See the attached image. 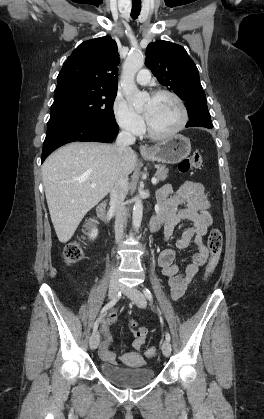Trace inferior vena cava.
Here are the masks:
<instances>
[{"mask_svg":"<svg viewBox=\"0 0 264 419\" xmlns=\"http://www.w3.org/2000/svg\"><path fill=\"white\" fill-rule=\"evenodd\" d=\"M135 136L129 132L128 130H122L116 139V149L117 155L119 158L123 156V153L127 150L129 145L135 143ZM127 176L124 174H120L117 177V181L115 185L112 187L110 191V198L111 204L116 209L115 214V239L116 242L119 243L123 238V231H124V222L125 217L127 214V210L125 208L124 199L127 194Z\"/></svg>","mask_w":264,"mask_h":419,"instance_id":"602c4592","label":"inferior vena cava"}]
</instances>
